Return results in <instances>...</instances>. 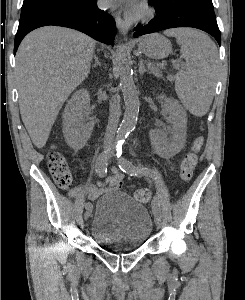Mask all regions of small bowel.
Returning a JSON list of instances; mask_svg holds the SVG:
<instances>
[{
    "label": "small bowel",
    "instance_id": "c3829d8e",
    "mask_svg": "<svg viewBox=\"0 0 245 300\" xmlns=\"http://www.w3.org/2000/svg\"><path fill=\"white\" fill-rule=\"evenodd\" d=\"M123 175L117 169L112 170V174L103 181H99L96 184L87 185L84 187H76L69 191L70 198H77L86 194L91 200H94L102 194L118 190L122 186Z\"/></svg>",
    "mask_w": 245,
    "mask_h": 300
}]
</instances>
